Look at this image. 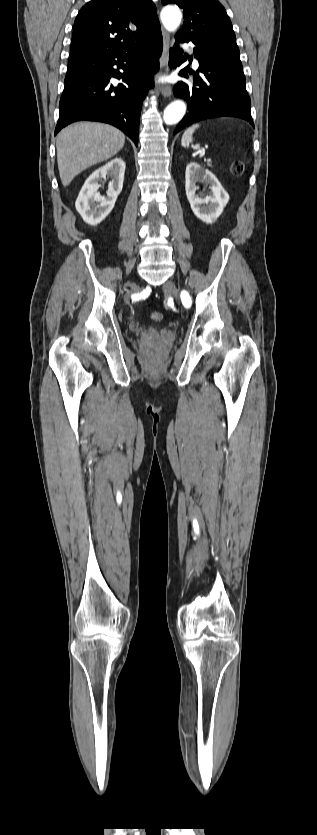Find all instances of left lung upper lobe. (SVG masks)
Listing matches in <instances>:
<instances>
[{
    "label": "left lung upper lobe",
    "instance_id": "left-lung-upper-lobe-1",
    "mask_svg": "<svg viewBox=\"0 0 317 835\" xmlns=\"http://www.w3.org/2000/svg\"><path fill=\"white\" fill-rule=\"evenodd\" d=\"M183 9L184 24L175 38L181 41H210L238 48L232 23L217 0H161Z\"/></svg>",
    "mask_w": 317,
    "mask_h": 835
}]
</instances>
